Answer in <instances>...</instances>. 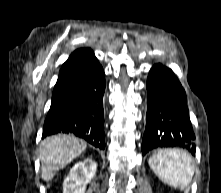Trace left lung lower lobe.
<instances>
[{"mask_svg":"<svg viewBox=\"0 0 221 193\" xmlns=\"http://www.w3.org/2000/svg\"><path fill=\"white\" fill-rule=\"evenodd\" d=\"M146 128L142 154L160 147H181L193 155L196 152L195 134L189 118L187 98L173 71L161 64L154 65L147 79ZM171 109L172 125L163 118V109Z\"/></svg>","mask_w":221,"mask_h":193,"instance_id":"obj_1","label":"left lung lower lobe"}]
</instances>
